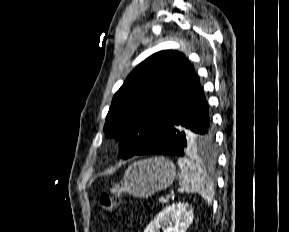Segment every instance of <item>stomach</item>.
I'll return each instance as SVG.
<instances>
[{"label":"stomach","mask_w":289,"mask_h":232,"mask_svg":"<svg viewBox=\"0 0 289 232\" xmlns=\"http://www.w3.org/2000/svg\"><path fill=\"white\" fill-rule=\"evenodd\" d=\"M176 176L175 165L164 157H154L133 163L125 172L123 181L115 184L112 193L119 197L128 193L146 198L168 188Z\"/></svg>","instance_id":"obj_1"}]
</instances>
